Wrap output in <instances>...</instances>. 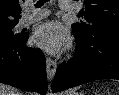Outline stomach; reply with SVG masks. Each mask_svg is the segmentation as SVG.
Returning <instances> with one entry per match:
<instances>
[{"mask_svg":"<svg viewBox=\"0 0 119 95\" xmlns=\"http://www.w3.org/2000/svg\"><path fill=\"white\" fill-rule=\"evenodd\" d=\"M70 95H83V94L74 92V93H71Z\"/></svg>","mask_w":119,"mask_h":95,"instance_id":"1","label":"stomach"}]
</instances>
